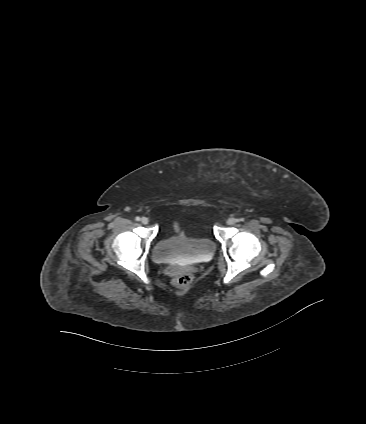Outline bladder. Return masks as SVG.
Instances as JSON below:
<instances>
[{
  "label": "bladder",
  "mask_w": 366,
  "mask_h": 424,
  "mask_svg": "<svg viewBox=\"0 0 366 424\" xmlns=\"http://www.w3.org/2000/svg\"><path fill=\"white\" fill-rule=\"evenodd\" d=\"M215 251L216 245L211 239L182 233L159 239L153 246L152 257L159 263L179 260L202 261L211 258Z\"/></svg>",
  "instance_id": "1"
}]
</instances>
